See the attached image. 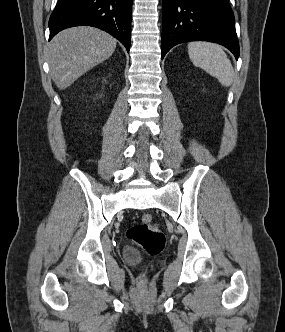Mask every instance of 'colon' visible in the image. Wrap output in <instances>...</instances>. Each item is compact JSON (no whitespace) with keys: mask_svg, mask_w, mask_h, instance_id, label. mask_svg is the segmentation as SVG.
<instances>
[{"mask_svg":"<svg viewBox=\"0 0 285 332\" xmlns=\"http://www.w3.org/2000/svg\"><path fill=\"white\" fill-rule=\"evenodd\" d=\"M126 235L150 255L160 253L165 246V236L151 214H144L140 223L127 229Z\"/></svg>","mask_w":285,"mask_h":332,"instance_id":"obj_1","label":"colon"}]
</instances>
